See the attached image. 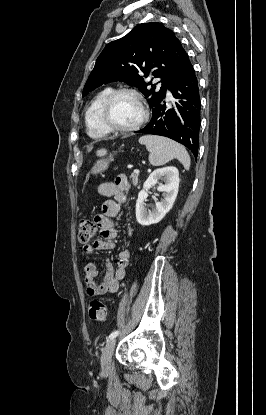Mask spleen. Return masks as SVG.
<instances>
[{
  "label": "spleen",
  "instance_id": "1",
  "mask_svg": "<svg viewBox=\"0 0 266 415\" xmlns=\"http://www.w3.org/2000/svg\"><path fill=\"white\" fill-rule=\"evenodd\" d=\"M139 143L146 146V149L149 151V162L153 166H162L173 159H177L186 170L190 169V156L179 143L155 135L142 136L139 139Z\"/></svg>",
  "mask_w": 266,
  "mask_h": 415
}]
</instances>
